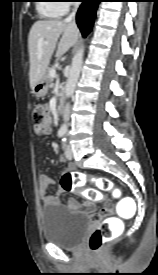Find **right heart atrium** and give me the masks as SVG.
<instances>
[{"label": "right heart atrium", "mask_w": 158, "mask_h": 275, "mask_svg": "<svg viewBox=\"0 0 158 275\" xmlns=\"http://www.w3.org/2000/svg\"><path fill=\"white\" fill-rule=\"evenodd\" d=\"M58 2H61L58 3V5L62 8L63 13H65L69 10V7L74 0H59Z\"/></svg>", "instance_id": "obj_1"}]
</instances>
